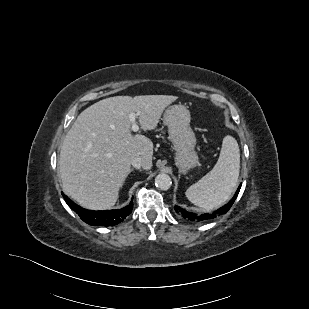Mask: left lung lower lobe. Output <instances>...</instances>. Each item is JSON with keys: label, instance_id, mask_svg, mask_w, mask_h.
I'll list each match as a JSON object with an SVG mask.
<instances>
[{"label": "left lung lower lobe", "instance_id": "left-lung-lower-lobe-1", "mask_svg": "<svg viewBox=\"0 0 309 309\" xmlns=\"http://www.w3.org/2000/svg\"><path fill=\"white\" fill-rule=\"evenodd\" d=\"M241 185L239 186V188L237 189L234 197L229 201V203H227L226 205H224L223 207L219 208L218 210L214 211L213 213L209 214V213H205V214H202V215H196L195 213H190L182 208H180L179 206H175V210L177 212H179L182 217L188 221H191V222H207V221H210L222 214H225L229 211V209L231 208V206L233 205L234 201L236 200L238 194H239V191H240V188H241Z\"/></svg>", "mask_w": 309, "mask_h": 309}]
</instances>
